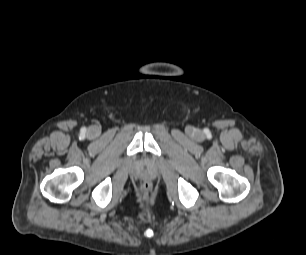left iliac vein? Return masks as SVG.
I'll list each match as a JSON object with an SVG mask.
<instances>
[{
  "label": "left iliac vein",
  "instance_id": "1",
  "mask_svg": "<svg viewBox=\"0 0 306 255\" xmlns=\"http://www.w3.org/2000/svg\"><path fill=\"white\" fill-rule=\"evenodd\" d=\"M196 136L201 137V136H202V133H201V132H197V133H196Z\"/></svg>",
  "mask_w": 306,
  "mask_h": 255
}]
</instances>
